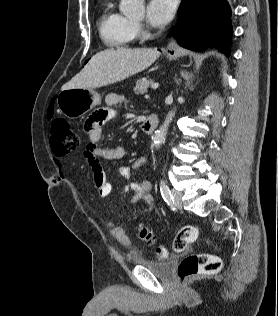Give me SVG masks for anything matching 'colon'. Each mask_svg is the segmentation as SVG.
Wrapping results in <instances>:
<instances>
[{
	"label": "colon",
	"mask_w": 278,
	"mask_h": 316,
	"mask_svg": "<svg viewBox=\"0 0 278 316\" xmlns=\"http://www.w3.org/2000/svg\"><path fill=\"white\" fill-rule=\"evenodd\" d=\"M81 143V134L72 128L67 121L63 119L55 120L50 128V145L56 156L66 155L79 147ZM138 236L141 240L156 245L155 236L150 228L144 225L138 227ZM199 236V230L195 226L187 225L182 227L173 240V250L182 252L186 247L194 242ZM155 254L159 258L167 255L166 249L158 245ZM221 268V260L207 253H196L185 257L178 268V278L181 284L189 279L204 275L212 274Z\"/></svg>",
	"instance_id": "5ec220e1"
}]
</instances>
